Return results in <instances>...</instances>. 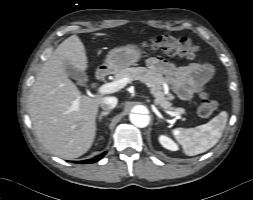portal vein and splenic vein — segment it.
<instances>
[{
	"label": "portal vein and splenic vein",
	"instance_id": "18ae733b",
	"mask_svg": "<svg viewBox=\"0 0 253 200\" xmlns=\"http://www.w3.org/2000/svg\"><path fill=\"white\" fill-rule=\"evenodd\" d=\"M127 83H128V79L123 78L121 80L113 81V82H110V83H107V84H104V85L100 86L97 89V92L99 94L114 93V92H117L120 89H122ZM155 103L157 104L156 100H155ZM73 108H74V110H76L78 108V100L74 101ZM164 111H165V113H167L170 116H176V117L179 116V114L174 112V111H169V110H164Z\"/></svg>",
	"mask_w": 253,
	"mask_h": 200
}]
</instances>
